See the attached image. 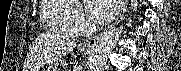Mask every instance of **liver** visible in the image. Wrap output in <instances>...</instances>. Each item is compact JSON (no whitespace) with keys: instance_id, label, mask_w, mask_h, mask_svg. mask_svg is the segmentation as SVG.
Instances as JSON below:
<instances>
[{"instance_id":"1","label":"liver","mask_w":181,"mask_h":71,"mask_svg":"<svg viewBox=\"0 0 181 71\" xmlns=\"http://www.w3.org/2000/svg\"><path fill=\"white\" fill-rule=\"evenodd\" d=\"M76 47L75 39L59 34H41L27 56L26 71H38L45 63L60 60ZM25 71V70H24Z\"/></svg>"}]
</instances>
